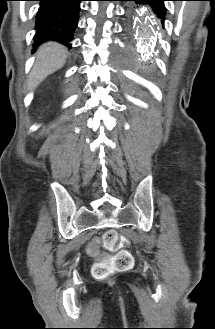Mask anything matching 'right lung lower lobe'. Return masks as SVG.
I'll use <instances>...</instances> for the list:
<instances>
[{"label":"right lung lower lobe","instance_id":"1","mask_svg":"<svg viewBox=\"0 0 215 329\" xmlns=\"http://www.w3.org/2000/svg\"><path fill=\"white\" fill-rule=\"evenodd\" d=\"M35 45L54 40L68 47L77 27L80 2L83 0H37Z\"/></svg>","mask_w":215,"mask_h":329}]
</instances>
